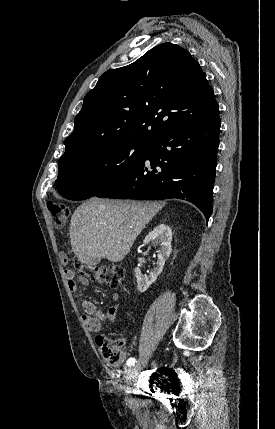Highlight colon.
Returning <instances> with one entry per match:
<instances>
[{
  "label": "colon",
  "mask_w": 275,
  "mask_h": 429,
  "mask_svg": "<svg viewBox=\"0 0 275 429\" xmlns=\"http://www.w3.org/2000/svg\"><path fill=\"white\" fill-rule=\"evenodd\" d=\"M47 206L55 227L58 229L66 227L70 216L68 207L57 201H49ZM60 260L62 264H67L66 254L61 253ZM74 265L81 278L98 281L112 288L119 287L124 279V269L118 264L89 265L76 260ZM96 344L101 357L109 366L119 367L122 364L124 353L120 339L99 335L96 337Z\"/></svg>",
  "instance_id": "1"
}]
</instances>
